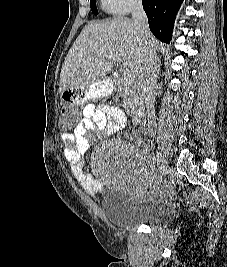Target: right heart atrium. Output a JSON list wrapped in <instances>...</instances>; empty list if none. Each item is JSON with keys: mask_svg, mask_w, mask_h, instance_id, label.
I'll return each mask as SVG.
<instances>
[{"mask_svg": "<svg viewBox=\"0 0 227 267\" xmlns=\"http://www.w3.org/2000/svg\"><path fill=\"white\" fill-rule=\"evenodd\" d=\"M106 5L113 8L116 13L126 14L139 8L142 0H102Z\"/></svg>", "mask_w": 227, "mask_h": 267, "instance_id": "right-heart-atrium-1", "label": "right heart atrium"}]
</instances>
